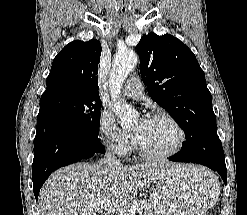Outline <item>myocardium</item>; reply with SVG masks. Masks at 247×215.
Listing matches in <instances>:
<instances>
[{"label": "myocardium", "mask_w": 247, "mask_h": 215, "mask_svg": "<svg viewBox=\"0 0 247 215\" xmlns=\"http://www.w3.org/2000/svg\"><path fill=\"white\" fill-rule=\"evenodd\" d=\"M151 119H162L168 121L178 133V142L173 149L163 153H153L148 151L139 141L138 137L134 134V143L139 154L149 160L158 161L169 159L178 154L184 147L186 141V133L182 125L172 115L166 112H155L152 114Z\"/></svg>", "instance_id": "1"}]
</instances>
